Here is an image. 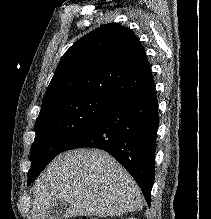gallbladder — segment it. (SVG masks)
Masks as SVG:
<instances>
[{
    "instance_id": "obj_1",
    "label": "gallbladder",
    "mask_w": 211,
    "mask_h": 219,
    "mask_svg": "<svg viewBox=\"0 0 211 219\" xmlns=\"http://www.w3.org/2000/svg\"><path fill=\"white\" fill-rule=\"evenodd\" d=\"M68 206L69 204L63 200L53 202L47 210L45 219H63Z\"/></svg>"
}]
</instances>
